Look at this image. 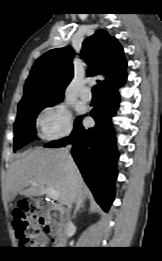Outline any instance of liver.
Here are the masks:
<instances>
[{"label":"liver","mask_w":162,"mask_h":261,"mask_svg":"<svg viewBox=\"0 0 162 261\" xmlns=\"http://www.w3.org/2000/svg\"><path fill=\"white\" fill-rule=\"evenodd\" d=\"M67 161L68 155L64 149L37 147L19 154L7 174L6 200L13 201L17 194L28 197L42 196L49 186L59 192L60 204L67 205L71 187ZM73 171L75 174L73 202L76 205H83L88 190L76 165ZM31 181H35L36 185L32 186Z\"/></svg>","instance_id":"obj_1"}]
</instances>
